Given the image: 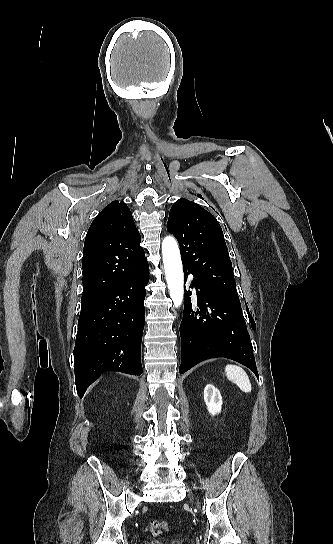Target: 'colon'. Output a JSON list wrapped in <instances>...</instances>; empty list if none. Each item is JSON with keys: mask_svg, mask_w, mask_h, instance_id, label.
Returning <instances> with one entry per match:
<instances>
[{"mask_svg": "<svg viewBox=\"0 0 333 544\" xmlns=\"http://www.w3.org/2000/svg\"><path fill=\"white\" fill-rule=\"evenodd\" d=\"M170 529V524L166 521H151L147 527L148 532L152 535H159L162 532L168 531Z\"/></svg>", "mask_w": 333, "mask_h": 544, "instance_id": "colon-1", "label": "colon"}]
</instances>
